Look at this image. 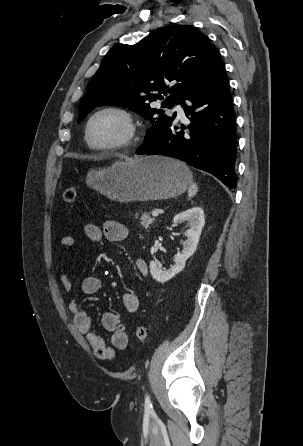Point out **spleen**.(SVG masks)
Instances as JSON below:
<instances>
[{"mask_svg": "<svg viewBox=\"0 0 303 446\" xmlns=\"http://www.w3.org/2000/svg\"><path fill=\"white\" fill-rule=\"evenodd\" d=\"M197 191H198V186L196 183L193 182L188 189V197L189 198L193 197L194 195H196Z\"/></svg>", "mask_w": 303, "mask_h": 446, "instance_id": "1", "label": "spleen"}]
</instances>
